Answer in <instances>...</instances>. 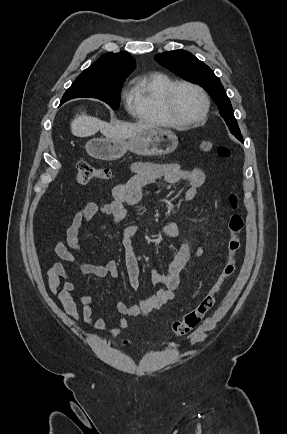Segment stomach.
Listing matches in <instances>:
<instances>
[{
	"label": "stomach",
	"mask_w": 287,
	"mask_h": 434,
	"mask_svg": "<svg viewBox=\"0 0 287 434\" xmlns=\"http://www.w3.org/2000/svg\"><path fill=\"white\" fill-rule=\"evenodd\" d=\"M178 146L177 136L168 129L151 127L128 141L125 139H92L87 145L88 153L97 159L113 161L121 158L127 150L142 156L166 155Z\"/></svg>",
	"instance_id": "stomach-1"
}]
</instances>
